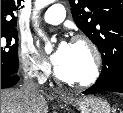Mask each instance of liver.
Masks as SVG:
<instances>
[{
    "label": "liver",
    "mask_w": 123,
    "mask_h": 113,
    "mask_svg": "<svg viewBox=\"0 0 123 113\" xmlns=\"http://www.w3.org/2000/svg\"><path fill=\"white\" fill-rule=\"evenodd\" d=\"M1 113H48L42 95H26L22 89L1 90Z\"/></svg>",
    "instance_id": "1"
}]
</instances>
